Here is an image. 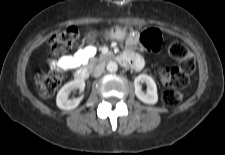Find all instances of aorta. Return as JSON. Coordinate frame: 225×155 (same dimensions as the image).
<instances>
[{"mask_svg": "<svg viewBox=\"0 0 225 155\" xmlns=\"http://www.w3.org/2000/svg\"><path fill=\"white\" fill-rule=\"evenodd\" d=\"M106 69L109 72H116L118 70V64L114 61H110L109 63H107Z\"/></svg>", "mask_w": 225, "mask_h": 155, "instance_id": "762f6f07", "label": "aorta"}]
</instances>
